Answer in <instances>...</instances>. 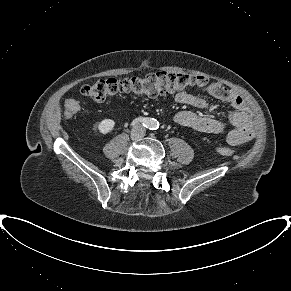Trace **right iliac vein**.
Returning <instances> with one entry per match:
<instances>
[{
    "mask_svg": "<svg viewBox=\"0 0 291 291\" xmlns=\"http://www.w3.org/2000/svg\"><path fill=\"white\" fill-rule=\"evenodd\" d=\"M134 138H135V136L133 135V136H132V139H134Z\"/></svg>",
    "mask_w": 291,
    "mask_h": 291,
    "instance_id": "1",
    "label": "right iliac vein"
}]
</instances>
